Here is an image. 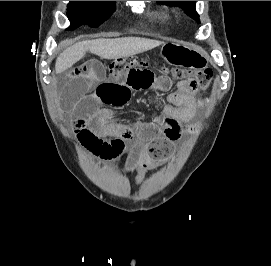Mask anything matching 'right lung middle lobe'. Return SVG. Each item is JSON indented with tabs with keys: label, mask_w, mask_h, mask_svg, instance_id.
Wrapping results in <instances>:
<instances>
[{
	"label": "right lung middle lobe",
	"mask_w": 271,
	"mask_h": 266,
	"mask_svg": "<svg viewBox=\"0 0 271 266\" xmlns=\"http://www.w3.org/2000/svg\"><path fill=\"white\" fill-rule=\"evenodd\" d=\"M114 10V1H70L67 6V17L71 22L68 30L81 25L98 27Z\"/></svg>",
	"instance_id": "right-lung-middle-lobe-1"
}]
</instances>
